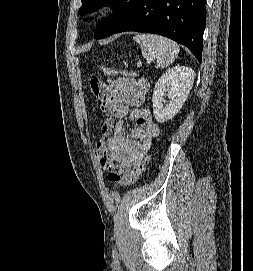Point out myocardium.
Masks as SVG:
<instances>
[{
  "instance_id": "1",
  "label": "myocardium",
  "mask_w": 253,
  "mask_h": 271,
  "mask_svg": "<svg viewBox=\"0 0 253 271\" xmlns=\"http://www.w3.org/2000/svg\"><path fill=\"white\" fill-rule=\"evenodd\" d=\"M113 10V3L111 1H103L98 7H97V14L100 17H104L109 15Z\"/></svg>"
}]
</instances>
